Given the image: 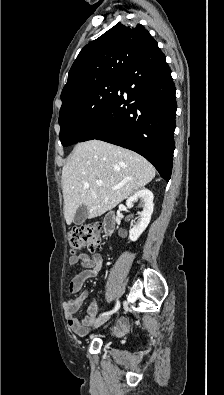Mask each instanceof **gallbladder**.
<instances>
[{"label": "gallbladder", "instance_id": "obj_1", "mask_svg": "<svg viewBox=\"0 0 224 395\" xmlns=\"http://www.w3.org/2000/svg\"><path fill=\"white\" fill-rule=\"evenodd\" d=\"M88 217V209L84 204H81L74 215L73 222L75 225L83 224Z\"/></svg>", "mask_w": 224, "mask_h": 395}]
</instances>
